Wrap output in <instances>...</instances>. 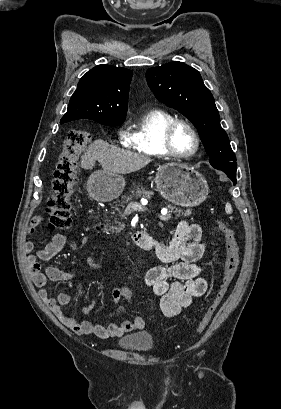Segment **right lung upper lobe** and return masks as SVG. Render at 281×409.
<instances>
[{
  "mask_svg": "<svg viewBox=\"0 0 281 409\" xmlns=\"http://www.w3.org/2000/svg\"><path fill=\"white\" fill-rule=\"evenodd\" d=\"M132 71L98 65L79 81L60 123L80 118L95 121L125 120Z\"/></svg>",
  "mask_w": 281,
  "mask_h": 409,
  "instance_id": "obj_1",
  "label": "right lung upper lobe"
}]
</instances>
